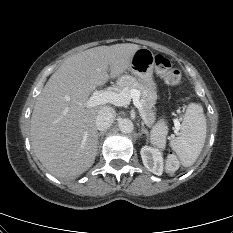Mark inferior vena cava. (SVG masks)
<instances>
[{
  "label": "inferior vena cava",
  "mask_w": 233,
  "mask_h": 233,
  "mask_svg": "<svg viewBox=\"0 0 233 233\" xmlns=\"http://www.w3.org/2000/svg\"><path fill=\"white\" fill-rule=\"evenodd\" d=\"M116 117V112L111 107H103L96 117V127L100 131H105L114 122Z\"/></svg>",
  "instance_id": "602c4592"
}]
</instances>
